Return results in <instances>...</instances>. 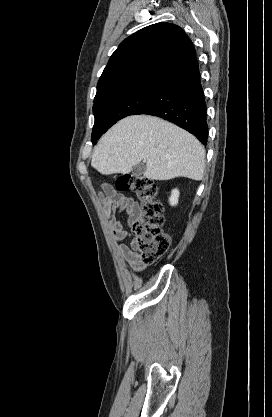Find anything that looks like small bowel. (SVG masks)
Segmentation results:
<instances>
[{
    "mask_svg": "<svg viewBox=\"0 0 272 417\" xmlns=\"http://www.w3.org/2000/svg\"><path fill=\"white\" fill-rule=\"evenodd\" d=\"M98 198L104 217L111 226L113 237L119 242V254L133 271H142L145 268V264L136 250L135 240L132 239L129 244L121 242L129 236V233L123 221L117 217L120 213L126 214L127 224L130 225L139 213L138 203L133 198L119 193L114 187L106 183L102 184L98 192Z\"/></svg>",
    "mask_w": 272,
    "mask_h": 417,
    "instance_id": "1",
    "label": "small bowel"
}]
</instances>
